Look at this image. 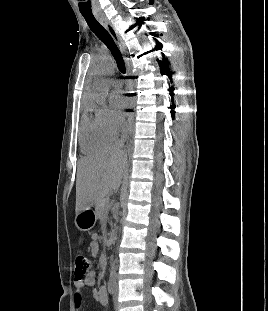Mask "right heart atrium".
<instances>
[{
    "instance_id": "d8ad5b80",
    "label": "right heart atrium",
    "mask_w": 268,
    "mask_h": 311,
    "mask_svg": "<svg viewBox=\"0 0 268 311\" xmlns=\"http://www.w3.org/2000/svg\"><path fill=\"white\" fill-rule=\"evenodd\" d=\"M105 125L114 133L118 134L125 128V123L118 112L104 106L97 112Z\"/></svg>"
}]
</instances>
